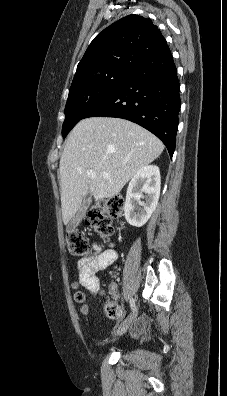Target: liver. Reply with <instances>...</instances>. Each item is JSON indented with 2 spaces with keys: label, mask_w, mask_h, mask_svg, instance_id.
<instances>
[{
  "label": "liver",
  "mask_w": 227,
  "mask_h": 396,
  "mask_svg": "<svg viewBox=\"0 0 227 396\" xmlns=\"http://www.w3.org/2000/svg\"><path fill=\"white\" fill-rule=\"evenodd\" d=\"M164 144L141 126L114 117L82 119L70 132L60 158L62 219L65 225L90 193L96 200L117 195ZM93 170L95 178L87 176ZM107 172L110 177H103Z\"/></svg>",
  "instance_id": "6515ba94"
}]
</instances>
